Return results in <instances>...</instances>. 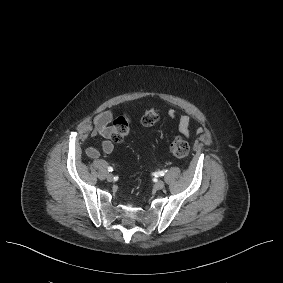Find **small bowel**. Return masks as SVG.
I'll list each match as a JSON object with an SVG mask.
<instances>
[{"instance_id":"1","label":"small bowel","mask_w":283,"mask_h":283,"mask_svg":"<svg viewBox=\"0 0 283 283\" xmlns=\"http://www.w3.org/2000/svg\"><path fill=\"white\" fill-rule=\"evenodd\" d=\"M168 115L171 119L177 120L178 128L184 136H189L190 130V117L186 114H179L176 110L171 109L168 111ZM113 119V112L105 110L97 114L92 122L91 136L101 137V150L105 154H111L114 150V145L111 141L113 128L110 126V122ZM198 134L202 132L201 129H197ZM86 154L91 159H96L100 156V150L97 147L90 146L86 149Z\"/></svg>"}]
</instances>
